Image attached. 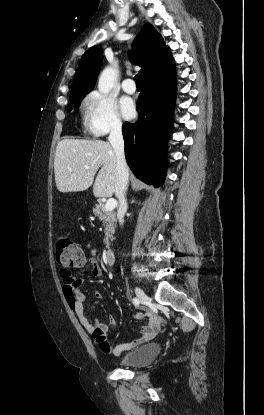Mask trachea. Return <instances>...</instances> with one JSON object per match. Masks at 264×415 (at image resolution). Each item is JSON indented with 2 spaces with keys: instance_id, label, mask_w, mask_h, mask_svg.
Listing matches in <instances>:
<instances>
[{
  "instance_id": "1",
  "label": "trachea",
  "mask_w": 264,
  "mask_h": 415,
  "mask_svg": "<svg viewBox=\"0 0 264 415\" xmlns=\"http://www.w3.org/2000/svg\"><path fill=\"white\" fill-rule=\"evenodd\" d=\"M134 81L136 83V86H140L141 87V78L139 74H136L134 77Z\"/></svg>"
}]
</instances>
